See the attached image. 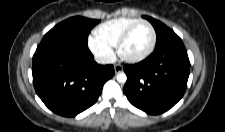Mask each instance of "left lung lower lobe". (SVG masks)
<instances>
[{
    "mask_svg": "<svg viewBox=\"0 0 225 132\" xmlns=\"http://www.w3.org/2000/svg\"><path fill=\"white\" fill-rule=\"evenodd\" d=\"M128 101L148 114H160L184 95L190 62L184 44L167 45L135 65H125Z\"/></svg>",
    "mask_w": 225,
    "mask_h": 132,
    "instance_id": "0a47b994",
    "label": "left lung lower lobe"
}]
</instances>
